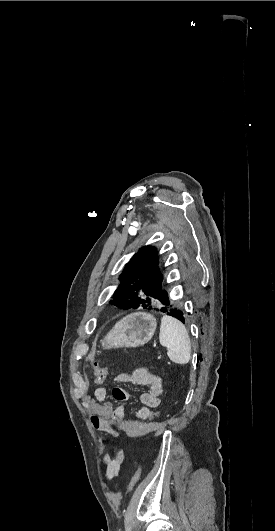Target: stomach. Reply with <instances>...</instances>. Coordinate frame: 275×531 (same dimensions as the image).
<instances>
[{"label":"stomach","instance_id":"1","mask_svg":"<svg viewBox=\"0 0 275 531\" xmlns=\"http://www.w3.org/2000/svg\"><path fill=\"white\" fill-rule=\"evenodd\" d=\"M157 329V319L150 313H131L118 321L101 341L103 349L141 347L151 341Z\"/></svg>","mask_w":275,"mask_h":531}]
</instances>
